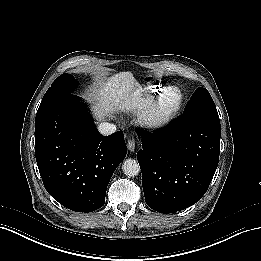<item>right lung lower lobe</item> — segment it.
<instances>
[{
    "mask_svg": "<svg viewBox=\"0 0 261 261\" xmlns=\"http://www.w3.org/2000/svg\"><path fill=\"white\" fill-rule=\"evenodd\" d=\"M35 123L36 161L48 193L76 212L102 207L110 178L127 153L123 132L101 135L87 106L72 94Z\"/></svg>",
    "mask_w": 261,
    "mask_h": 261,
    "instance_id": "1",
    "label": "right lung lower lobe"
}]
</instances>
